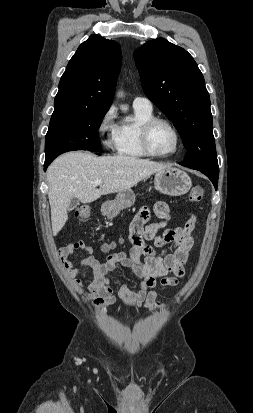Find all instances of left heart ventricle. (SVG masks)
<instances>
[{"mask_svg":"<svg viewBox=\"0 0 253 413\" xmlns=\"http://www.w3.org/2000/svg\"><path fill=\"white\" fill-rule=\"evenodd\" d=\"M150 143L156 153H170L175 147L174 133L166 124L158 123L151 130Z\"/></svg>","mask_w":253,"mask_h":413,"instance_id":"b2bd125f","label":"left heart ventricle"}]
</instances>
